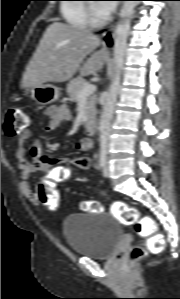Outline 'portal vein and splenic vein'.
Listing matches in <instances>:
<instances>
[{
	"instance_id": "portal-vein-and-splenic-vein-1",
	"label": "portal vein and splenic vein",
	"mask_w": 180,
	"mask_h": 299,
	"mask_svg": "<svg viewBox=\"0 0 180 299\" xmlns=\"http://www.w3.org/2000/svg\"><path fill=\"white\" fill-rule=\"evenodd\" d=\"M96 91V86L93 84H87L83 87V89L79 92L78 97L84 98L92 95Z\"/></svg>"
}]
</instances>
